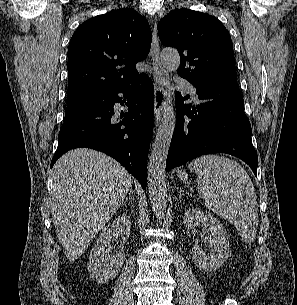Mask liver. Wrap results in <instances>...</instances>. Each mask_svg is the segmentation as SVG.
Returning a JSON list of instances; mask_svg holds the SVG:
<instances>
[{"instance_id":"1","label":"liver","mask_w":297,"mask_h":305,"mask_svg":"<svg viewBox=\"0 0 297 305\" xmlns=\"http://www.w3.org/2000/svg\"><path fill=\"white\" fill-rule=\"evenodd\" d=\"M51 213L65 256L74 261L117 212L131 187L129 172L87 148L70 150L53 167Z\"/></svg>"}]
</instances>
